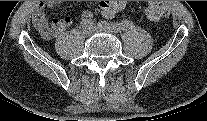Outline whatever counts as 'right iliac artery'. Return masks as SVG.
Segmentation results:
<instances>
[{"label": "right iliac artery", "mask_w": 207, "mask_h": 121, "mask_svg": "<svg viewBox=\"0 0 207 121\" xmlns=\"http://www.w3.org/2000/svg\"><path fill=\"white\" fill-rule=\"evenodd\" d=\"M82 19H83L84 22H87V23H91L92 24L93 15H92L91 12L85 11L82 14Z\"/></svg>", "instance_id": "right-iliac-artery-1"}]
</instances>
